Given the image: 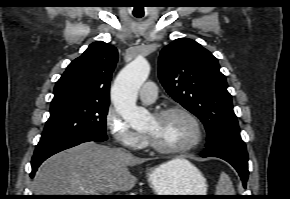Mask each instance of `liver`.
Returning <instances> with one entry per match:
<instances>
[{
    "label": "liver",
    "mask_w": 290,
    "mask_h": 199,
    "mask_svg": "<svg viewBox=\"0 0 290 199\" xmlns=\"http://www.w3.org/2000/svg\"><path fill=\"white\" fill-rule=\"evenodd\" d=\"M148 159L138 158L118 148L85 142L48 158L34 178L35 195H111L129 191L137 178L128 166ZM185 159L167 162L175 166Z\"/></svg>",
    "instance_id": "obj_1"
}]
</instances>
